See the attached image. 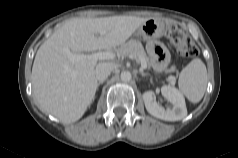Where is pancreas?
Listing matches in <instances>:
<instances>
[{
    "instance_id": "cf45deb5",
    "label": "pancreas",
    "mask_w": 238,
    "mask_h": 158,
    "mask_svg": "<svg viewBox=\"0 0 238 158\" xmlns=\"http://www.w3.org/2000/svg\"><path fill=\"white\" fill-rule=\"evenodd\" d=\"M116 53H117V55H119L121 57L133 58L139 63L144 62V63H146L148 68H150L149 58L147 57V55L144 51V48H143L141 42H139V41L129 40L128 42L123 43L120 47H118L116 49ZM173 70H174V68H171L170 70H168V72H171ZM167 81L170 84L174 83L172 76H169L167 78Z\"/></svg>"
}]
</instances>
